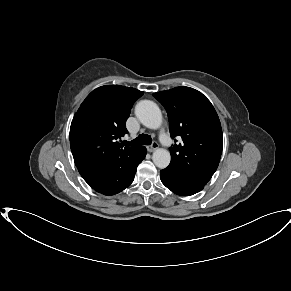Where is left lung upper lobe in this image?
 <instances>
[{
    "label": "left lung upper lobe",
    "mask_w": 291,
    "mask_h": 291,
    "mask_svg": "<svg viewBox=\"0 0 291 291\" xmlns=\"http://www.w3.org/2000/svg\"><path fill=\"white\" fill-rule=\"evenodd\" d=\"M153 96L167 111L171 137L182 138V143L169 148V166L207 183L218 167L223 148L221 124L213 105L201 92L189 87Z\"/></svg>",
    "instance_id": "5c2ea615"
}]
</instances>
